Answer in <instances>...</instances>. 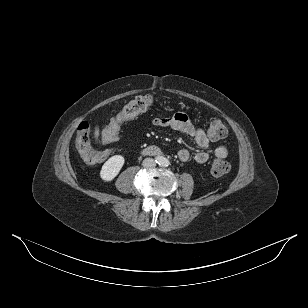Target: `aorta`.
<instances>
[{"mask_svg":"<svg viewBox=\"0 0 308 308\" xmlns=\"http://www.w3.org/2000/svg\"><path fill=\"white\" fill-rule=\"evenodd\" d=\"M160 166L167 167L170 164V161L165 157H160L158 160Z\"/></svg>","mask_w":308,"mask_h":308,"instance_id":"1","label":"aorta"}]
</instances>
